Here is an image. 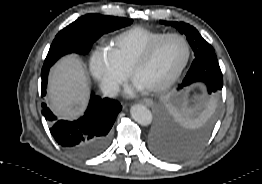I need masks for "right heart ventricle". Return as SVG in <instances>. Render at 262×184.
<instances>
[{"mask_svg":"<svg viewBox=\"0 0 262 184\" xmlns=\"http://www.w3.org/2000/svg\"><path fill=\"white\" fill-rule=\"evenodd\" d=\"M163 34L143 27H132L113 38L109 51L118 64L129 72L142 51Z\"/></svg>","mask_w":262,"mask_h":184,"instance_id":"e07e8e85","label":"right heart ventricle"}]
</instances>
